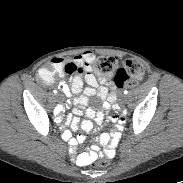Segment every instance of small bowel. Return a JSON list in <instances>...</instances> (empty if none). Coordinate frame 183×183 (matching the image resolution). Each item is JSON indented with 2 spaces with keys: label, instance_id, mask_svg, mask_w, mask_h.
I'll use <instances>...</instances> for the list:
<instances>
[{
  "label": "small bowel",
  "instance_id": "c3829d8e",
  "mask_svg": "<svg viewBox=\"0 0 183 183\" xmlns=\"http://www.w3.org/2000/svg\"><path fill=\"white\" fill-rule=\"evenodd\" d=\"M95 61V54L91 51H86L76 56L53 58L48 66L40 69L51 68L59 73H63L65 67H72L73 71L70 73L72 77L69 84L59 82L58 87L68 96L77 95L83 91L82 95L69 100L70 103L75 105L73 109L74 116L63 117L65 108L62 105H57L52 109V114L56 117L57 124L70 126L74 131L82 129L85 132H89L93 129L94 123L97 125H104L109 122L119 123V126L115 128L112 135L106 133L95 135L91 152H82L75 157V162L80 166H85L88 163V159L95 157L94 151H98L101 145L105 146L103 153L106 158L109 160L114 159L116 151L113 146L120 138L122 124L129 123L133 119L131 111L120 109L118 105L114 104L116 101V92L115 89H108L109 79L103 75L96 76L93 73ZM52 83H54V80L49 84ZM84 83H86L85 88ZM95 95L102 101L101 109L89 108L86 110L89 99ZM84 113L86 114V118L80 121L77 116ZM62 137L72 147L73 152L76 151V146L84 141V137L81 135L77 138H72L68 130L62 132Z\"/></svg>",
  "mask_w": 183,
  "mask_h": 183
}]
</instances>
